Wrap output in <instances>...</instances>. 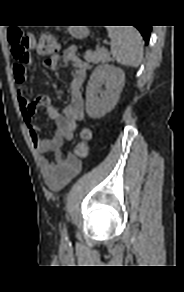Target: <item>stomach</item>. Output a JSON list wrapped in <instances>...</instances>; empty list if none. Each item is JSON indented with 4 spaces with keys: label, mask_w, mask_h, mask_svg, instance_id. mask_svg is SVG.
I'll return each mask as SVG.
<instances>
[{
    "label": "stomach",
    "mask_w": 184,
    "mask_h": 292,
    "mask_svg": "<svg viewBox=\"0 0 184 292\" xmlns=\"http://www.w3.org/2000/svg\"><path fill=\"white\" fill-rule=\"evenodd\" d=\"M69 32L71 33L73 37L78 38V39L86 37L88 34L87 29L80 26H71L69 28Z\"/></svg>",
    "instance_id": "1"
}]
</instances>
